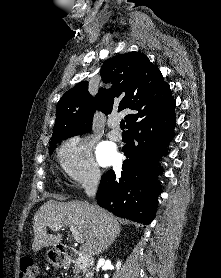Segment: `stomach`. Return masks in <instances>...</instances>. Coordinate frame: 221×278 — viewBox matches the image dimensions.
<instances>
[{"label": "stomach", "instance_id": "1", "mask_svg": "<svg viewBox=\"0 0 221 278\" xmlns=\"http://www.w3.org/2000/svg\"><path fill=\"white\" fill-rule=\"evenodd\" d=\"M48 261L55 267L63 265V260L61 255L53 249H49L46 253Z\"/></svg>", "mask_w": 221, "mask_h": 278}]
</instances>
